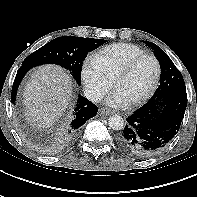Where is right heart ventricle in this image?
I'll return each mask as SVG.
<instances>
[{
    "label": "right heart ventricle",
    "instance_id": "1",
    "mask_svg": "<svg viewBox=\"0 0 197 197\" xmlns=\"http://www.w3.org/2000/svg\"><path fill=\"white\" fill-rule=\"evenodd\" d=\"M145 54L137 45L117 43L109 45L92 56L94 63L114 79L118 71L134 58Z\"/></svg>",
    "mask_w": 197,
    "mask_h": 197
}]
</instances>
